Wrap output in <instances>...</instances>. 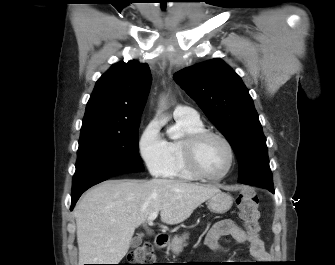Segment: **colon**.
Segmentation results:
<instances>
[{
	"label": "colon",
	"mask_w": 335,
	"mask_h": 265,
	"mask_svg": "<svg viewBox=\"0 0 335 265\" xmlns=\"http://www.w3.org/2000/svg\"><path fill=\"white\" fill-rule=\"evenodd\" d=\"M239 214L246 228L250 232L258 230L260 212L256 195L249 189L243 190L236 199ZM154 251L150 244H144L132 251L128 263L124 265H152Z\"/></svg>",
	"instance_id": "obj_1"
}]
</instances>
